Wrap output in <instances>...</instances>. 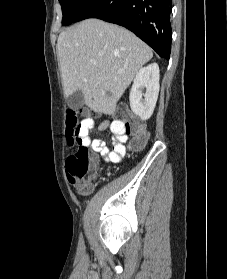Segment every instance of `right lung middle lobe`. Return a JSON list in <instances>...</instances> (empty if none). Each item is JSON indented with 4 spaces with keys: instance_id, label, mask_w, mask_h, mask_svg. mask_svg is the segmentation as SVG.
Masks as SVG:
<instances>
[{
    "instance_id": "right-lung-middle-lobe-1",
    "label": "right lung middle lobe",
    "mask_w": 227,
    "mask_h": 279,
    "mask_svg": "<svg viewBox=\"0 0 227 279\" xmlns=\"http://www.w3.org/2000/svg\"><path fill=\"white\" fill-rule=\"evenodd\" d=\"M87 0H59L62 6V24H71Z\"/></svg>"
}]
</instances>
